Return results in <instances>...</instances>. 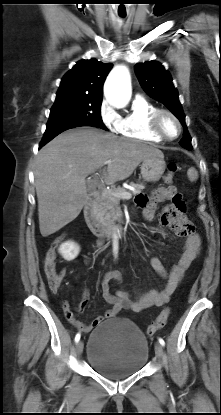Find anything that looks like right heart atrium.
<instances>
[{
	"mask_svg": "<svg viewBox=\"0 0 221 415\" xmlns=\"http://www.w3.org/2000/svg\"><path fill=\"white\" fill-rule=\"evenodd\" d=\"M99 116L105 128L112 132L118 131L120 116L106 101L99 108Z\"/></svg>",
	"mask_w": 221,
	"mask_h": 415,
	"instance_id": "obj_1",
	"label": "right heart atrium"
}]
</instances>
